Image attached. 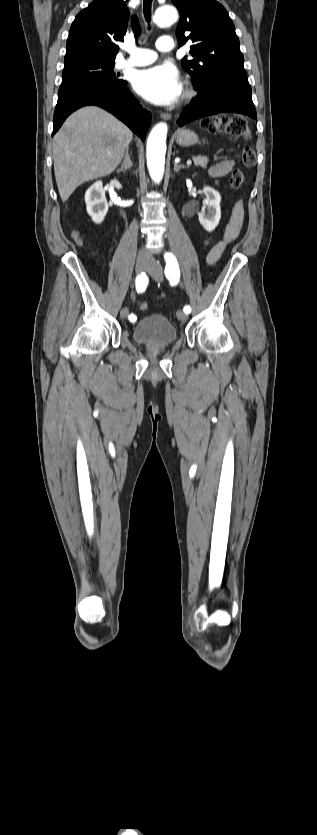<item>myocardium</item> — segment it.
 <instances>
[{
	"label": "myocardium",
	"instance_id": "f54148a6",
	"mask_svg": "<svg viewBox=\"0 0 317 835\" xmlns=\"http://www.w3.org/2000/svg\"><path fill=\"white\" fill-rule=\"evenodd\" d=\"M194 96H195V91H194V89H192V88H190V87H189V88H187V89L185 90L184 94H183V98H184V100H186V101H188V100L192 99Z\"/></svg>",
	"mask_w": 317,
	"mask_h": 835
}]
</instances>
